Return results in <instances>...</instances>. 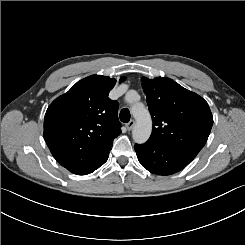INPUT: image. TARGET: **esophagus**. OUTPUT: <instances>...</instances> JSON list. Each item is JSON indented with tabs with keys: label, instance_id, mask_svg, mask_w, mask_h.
Here are the masks:
<instances>
[{
	"label": "esophagus",
	"instance_id": "esophagus-1",
	"mask_svg": "<svg viewBox=\"0 0 245 245\" xmlns=\"http://www.w3.org/2000/svg\"><path fill=\"white\" fill-rule=\"evenodd\" d=\"M135 125V121L134 120H130L127 124H126V128L128 131L132 130V128Z\"/></svg>",
	"mask_w": 245,
	"mask_h": 245
}]
</instances>
